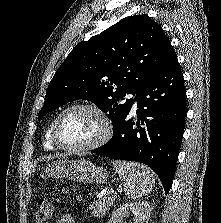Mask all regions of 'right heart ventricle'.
<instances>
[{
  "instance_id": "right-heart-ventricle-1",
  "label": "right heart ventricle",
  "mask_w": 221,
  "mask_h": 223,
  "mask_svg": "<svg viewBox=\"0 0 221 223\" xmlns=\"http://www.w3.org/2000/svg\"><path fill=\"white\" fill-rule=\"evenodd\" d=\"M53 123H54V120L49 124L48 128L45 131V146L47 148H55L56 147V145L53 143L52 138H51Z\"/></svg>"
}]
</instances>
